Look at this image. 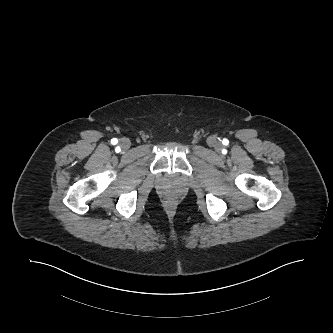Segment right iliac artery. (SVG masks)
<instances>
[{
    "mask_svg": "<svg viewBox=\"0 0 333 333\" xmlns=\"http://www.w3.org/2000/svg\"><path fill=\"white\" fill-rule=\"evenodd\" d=\"M117 142H118V140H117L116 138H113V139L111 140V143L114 144V145L117 144Z\"/></svg>",
    "mask_w": 333,
    "mask_h": 333,
    "instance_id": "right-iliac-artery-1",
    "label": "right iliac artery"
}]
</instances>
